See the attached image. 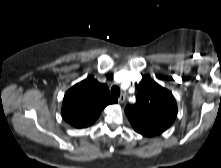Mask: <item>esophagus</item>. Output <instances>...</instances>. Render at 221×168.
I'll list each match as a JSON object with an SVG mask.
<instances>
[{"mask_svg":"<svg viewBox=\"0 0 221 168\" xmlns=\"http://www.w3.org/2000/svg\"><path fill=\"white\" fill-rule=\"evenodd\" d=\"M125 99H126L125 95H124V94H121L120 97L118 98V102H119L120 104H123V103L125 102Z\"/></svg>","mask_w":221,"mask_h":168,"instance_id":"34e87169","label":"esophagus"}]
</instances>
